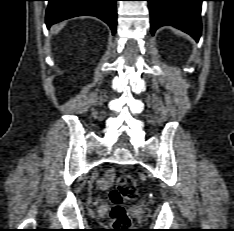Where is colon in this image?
Returning a JSON list of instances; mask_svg holds the SVG:
<instances>
[{
  "instance_id": "1",
  "label": "colon",
  "mask_w": 234,
  "mask_h": 231,
  "mask_svg": "<svg viewBox=\"0 0 234 231\" xmlns=\"http://www.w3.org/2000/svg\"><path fill=\"white\" fill-rule=\"evenodd\" d=\"M137 195L138 190L134 177L130 174L121 175L109 193L112 204L110 218L116 231L130 230L131 219L125 208V203L134 200Z\"/></svg>"
}]
</instances>
